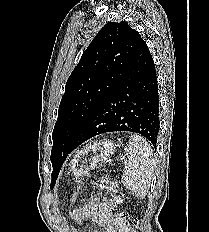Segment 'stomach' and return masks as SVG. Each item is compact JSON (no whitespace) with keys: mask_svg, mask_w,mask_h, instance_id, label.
Returning <instances> with one entry per match:
<instances>
[{"mask_svg":"<svg viewBox=\"0 0 209 232\" xmlns=\"http://www.w3.org/2000/svg\"><path fill=\"white\" fill-rule=\"evenodd\" d=\"M116 145L110 140H102L90 144L78 151L70 167L76 177L88 175L89 171L103 165L114 154Z\"/></svg>","mask_w":209,"mask_h":232,"instance_id":"obj_1","label":"stomach"}]
</instances>
